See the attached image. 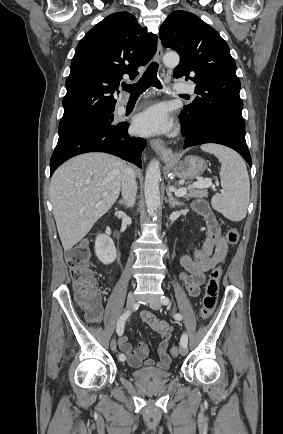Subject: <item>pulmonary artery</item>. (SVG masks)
<instances>
[{"label":"pulmonary artery","instance_id":"1","mask_svg":"<svg viewBox=\"0 0 283 434\" xmlns=\"http://www.w3.org/2000/svg\"><path fill=\"white\" fill-rule=\"evenodd\" d=\"M176 91L183 94H194V87L191 84H177L175 87ZM125 105H120L118 107L119 112H123Z\"/></svg>","mask_w":283,"mask_h":434}]
</instances>
